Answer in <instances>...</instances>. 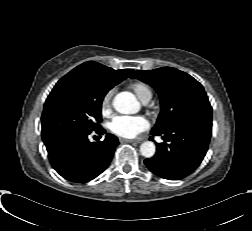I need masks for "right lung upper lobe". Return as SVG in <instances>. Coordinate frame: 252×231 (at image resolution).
Returning a JSON list of instances; mask_svg holds the SVG:
<instances>
[{
	"label": "right lung upper lobe",
	"mask_w": 252,
	"mask_h": 231,
	"mask_svg": "<svg viewBox=\"0 0 252 231\" xmlns=\"http://www.w3.org/2000/svg\"><path fill=\"white\" fill-rule=\"evenodd\" d=\"M83 69L93 71L97 74L106 76L109 80L116 83H120L124 79H126L130 73L133 71L132 69H121V70H114L110 67L104 66L100 63L88 61L79 66H77L74 70Z\"/></svg>",
	"instance_id": "1"
}]
</instances>
